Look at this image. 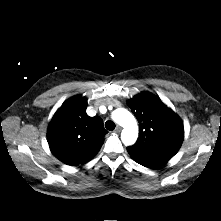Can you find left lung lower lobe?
I'll list each match as a JSON object with an SVG mask.
<instances>
[{"instance_id": "1", "label": "left lung lower lobe", "mask_w": 221, "mask_h": 221, "mask_svg": "<svg viewBox=\"0 0 221 221\" xmlns=\"http://www.w3.org/2000/svg\"><path fill=\"white\" fill-rule=\"evenodd\" d=\"M136 162L145 166V167L152 168V169L158 168L161 165L166 163V161H163L160 159H153V160H147V161H136Z\"/></svg>"}]
</instances>
